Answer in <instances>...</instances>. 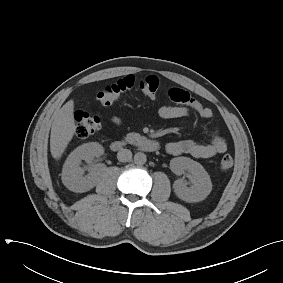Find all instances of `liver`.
<instances>
[{
	"mask_svg": "<svg viewBox=\"0 0 283 283\" xmlns=\"http://www.w3.org/2000/svg\"><path fill=\"white\" fill-rule=\"evenodd\" d=\"M76 132L74 101L70 100L54 113L50 135V152L60 159Z\"/></svg>",
	"mask_w": 283,
	"mask_h": 283,
	"instance_id": "1",
	"label": "liver"
}]
</instances>
